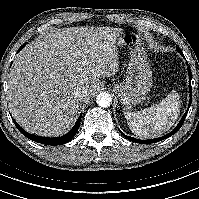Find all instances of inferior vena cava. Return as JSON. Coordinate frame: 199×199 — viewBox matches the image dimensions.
Masks as SVG:
<instances>
[{
	"mask_svg": "<svg viewBox=\"0 0 199 199\" xmlns=\"http://www.w3.org/2000/svg\"><path fill=\"white\" fill-rule=\"evenodd\" d=\"M72 95L76 100H82L84 98V91L82 89H75Z\"/></svg>",
	"mask_w": 199,
	"mask_h": 199,
	"instance_id": "1",
	"label": "inferior vena cava"
}]
</instances>
